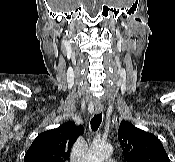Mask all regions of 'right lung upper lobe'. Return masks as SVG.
Wrapping results in <instances>:
<instances>
[{
	"label": "right lung upper lobe",
	"instance_id": "obj_1",
	"mask_svg": "<svg viewBox=\"0 0 175 162\" xmlns=\"http://www.w3.org/2000/svg\"><path fill=\"white\" fill-rule=\"evenodd\" d=\"M83 132V126L66 122L39 134L26 152L24 162H68L71 147Z\"/></svg>",
	"mask_w": 175,
	"mask_h": 162
}]
</instances>
